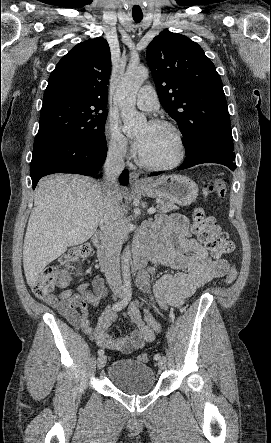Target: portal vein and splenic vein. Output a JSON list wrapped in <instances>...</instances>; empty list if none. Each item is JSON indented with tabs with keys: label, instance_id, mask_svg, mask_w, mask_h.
Wrapping results in <instances>:
<instances>
[{
	"label": "portal vein and splenic vein",
	"instance_id": "18ae733b",
	"mask_svg": "<svg viewBox=\"0 0 271 443\" xmlns=\"http://www.w3.org/2000/svg\"><path fill=\"white\" fill-rule=\"evenodd\" d=\"M148 214H155V208H150V210H148Z\"/></svg>",
	"mask_w": 271,
	"mask_h": 443
}]
</instances>
